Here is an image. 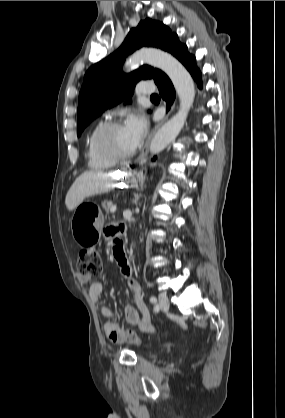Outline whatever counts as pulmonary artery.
Here are the masks:
<instances>
[{"instance_id": "e3ab8cb5", "label": "pulmonary artery", "mask_w": 285, "mask_h": 418, "mask_svg": "<svg viewBox=\"0 0 285 418\" xmlns=\"http://www.w3.org/2000/svg\"><path fill=\"white\" fill-rule=\"evenodd\" d=\"M155 87L153 85H142L139 87L138 92L139 94H150L155 91Z\"/></svg>"}]
</instances>
